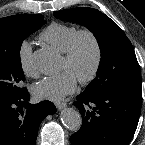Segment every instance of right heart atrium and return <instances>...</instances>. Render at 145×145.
Here are the masks:
<instances>
[{"label":"right heart atrium","instance_id":"1","mask_svg":"<svg viewBox=\"0 0 145 145\" xmlns=\"http://www.w3.org/2000/svg\"><path fill=\"white\" fill-rule=\"evenodd\" d=\"M18 61L20 69L27 77L36 78L38 76L37 70L32 63V47L28 41H23L18 49Z\"/></svg>","mask_w":145,"mask_h":145}]
</instances>
